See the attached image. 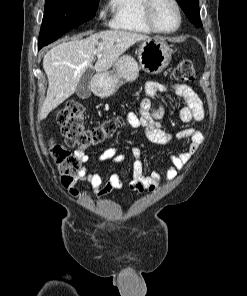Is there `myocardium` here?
I'll list each match as a JSON object with an SVG mask.
<instances>
[{"label": "myocardium", "instance_id": "1", "mask_svg": "<svg viewBox=\"0 0 247 296\" xmlns=\"http://www.w3.org/2000/svg\"><path fill=\"white\" fill-rule=\"evenodd\" d=\"M156 0H145L143 14L147 24L151 27L154 32L161 33V34H172L176 32L182 24V12L179 3L177 0H169V2L174 6L176 14H177V24L173 29L170 30H163L158 27L155 22L153 10L155 6Z\"/></svg>", "mask_w": 247, "mask_h": 296}]
</instances>
